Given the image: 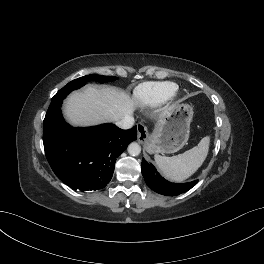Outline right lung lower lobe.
Listing matches in <instances>:
<instances>
[{
  "mask_svg": "<svg viewBox=\"0 0 264 264\" xmlns=\"http://www.w3.org/2000/svg\"><path fill=\"white\" fill-rule=\"evenodd\" d=\"M61 102L49 108L43 126L47 160L69 187L85 191L104 188L111 180L116 158L137 138V128L113 124L73 128L63 119Z\"/></svg>",
  "mask_w": 264,
  "mask_h": 264,
  "instance_id": "obj_1",
  "label": "right lung lower lobe"
}]
</instances>
